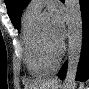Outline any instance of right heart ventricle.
Wrapping results in <instances>:
<instances>
[{
    "instance_id": "obj_1",
    "label": "right heart ventricle",
    "mask_w": 89,
    "mask_h": 89,
    "mask_svg": "<svg viewBox=\"0 0 89 89\" xmlns=\"http://www.w3.org/2000/svg\"><path fill=\"white\" fill-rule=\"evenodd\" d=\"M37 16L25 13L22 16V41L24 48V62L27 70L33 76H44L52 72L57 64L47 61L41 53L37 39Z\"/></svg>"
}]
</instances>
